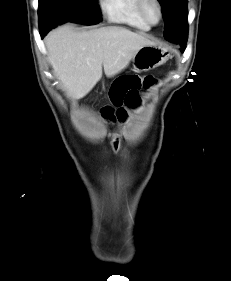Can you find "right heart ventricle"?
<instances>
[{
	"instance_id": "1",
	"label": "right heart ventricle",
	"mask_w": 231,
	"mask_h": 281,
	"mask_svg": "<svg viewBox=\"0 0 231 281\" xmlns=\"http://www.w3.org/2000/svg\"><path fill=\"white\" fill-rule=\"evenodd\" d=\"M101 9L110 22L148 30L149 24L142 18L138 0H100Z\"/></svg>"
}]
</instances>
